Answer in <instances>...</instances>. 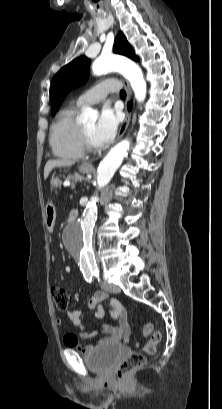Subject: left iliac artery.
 <instances>
[{"mask_svg": "<svg viewBox=\"0 0 222 409\" xmlns=\"http://www.w3.org/2000/svg\"><path fill=\"white\" fill-rule=\"evenodd\" d=\"M94 275H95L97 278L99 277V271H98L97 268L94 270Z\"/></svg>", "mask_w": 222, "mask_h": 409, "instance_id": "1", "label": "left iliac artery"}]
</instances>
